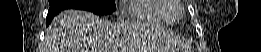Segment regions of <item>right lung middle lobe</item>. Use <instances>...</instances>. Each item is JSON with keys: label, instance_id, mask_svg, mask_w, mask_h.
Masks as SVG:
<instances>
[{"label": "right lung middle lobe", "instance_id": "1", "mask_svg": "<svg viewBox=\"0 0 261 52\" xmlns=\"http://www.w3.org/2000/svg\"><path fill=\"white\" fill-rule=\"evenodd\" d=\"M50 9L75 8L88 10L98 15H106L115 11V0H49Z\"/></svg>", "mask_w": 261, "mask_h": 52}]
</instances>
